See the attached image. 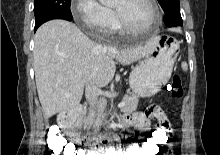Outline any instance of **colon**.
Returning <instances> with one entry per match:
<instances>
[{
  "label": "colon",
  "mask_w": 220,
  "mask_h": 155,
  "mask_svg": "<svg viewBox=\"0 0 220 155\" xmlns=\"http://www.w3.org/2000/svg\"><path fill=\"white\" fill-rule=\"evenodd\" d=\"M167 89L174 99H178L183 95V86L180 77L174 74L171 78ZM165 123H152L148 125L149 135L146 139H138L132 142L131 146L135 147L138 155H158L161 144H169L168 133ZM51 146H47L49 155H86V152H79L80 143H66L61 135L54 131L50 135ZM161 155H173L170 150L161 149Z\"/></svg>",
  "instance_id": "obj_1"
}]
</instances>
